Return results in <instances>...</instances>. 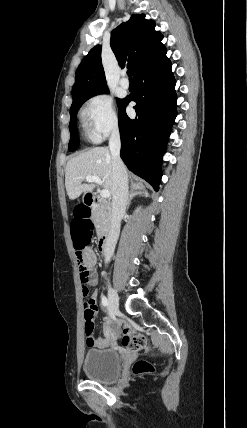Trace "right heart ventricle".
Masks as SVG:
<instances>
[{"label": "right heart ventricle", "instance_id": "obj_1", "mask_svg": "<svg viewBox=\"0 0 247 428\" xmlns=\"http://www.w3.org/2000/svg\"><path fill=\"white\" fill-rule=\"evenodd\" d=\"M83 126H84V128L86 127V123H85V121L83 120Z\"/></svg>", "mask_w": 247, "mask_h": 428}]
</instances>
